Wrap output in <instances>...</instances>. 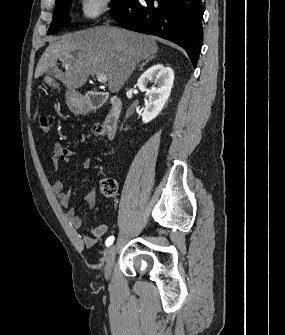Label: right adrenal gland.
I'll return each mask as SVG.
<instances>
[{"label":"right adrenal gland","instance_id":"2a0ac1e0","mask_svg":"<svg viewBox=\"0 0 285 335\" xmlns=\"http://www.w3.org/2000/svg\"><path fill=\"white\" fill-rule=\"evenodd\" d=\"M154 56H151V58H148V60H146V62H142V64H140L139 68H143V66H147L149 60H153Z\"/></svg>","mask_w":285,"mask_h":335}]
</instances>
